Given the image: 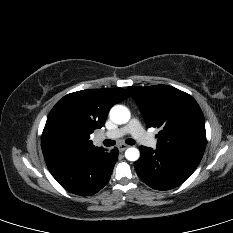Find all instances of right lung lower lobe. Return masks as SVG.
I'll list each match as a JSON object with an SVG mask.
<instances>
[{"instance_id": "right-lung-lower-lobe-1", "label": "right lung lower lobe", "mask_w": 233, "mask_h": 233, "mask_svg": "<svg viewBox=\"0 0 233 233\" xmlns=\"http://www.w3.org/2000/svg\"><path fill=\"white\" fill-rule=\"evenodd\" d=\"M118 159V149L85 154L62 153L45 157L46 165L58 183L70 193L90 196L109 181Z\"/></svg>"}]
</instances>
